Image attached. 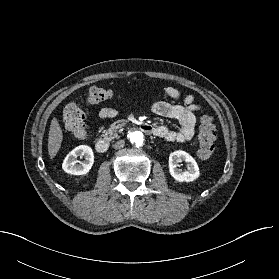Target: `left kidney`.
Masks as SVG:
<instances>
[{
	"mask_svg": "<svg viewBox=\"0 0 279 279\" xmlns=\"http://www.w3.org/2000/svg\"><path fill=\"white\" fill-rule=\"evenodd\" d=\"M186 162V171L179 169L178 163ZM169 172L171 176L178 182H192L196 180L199 175V167L195 159L185 151L177 150L169 155Z\"/></svg>",
	"mask_w": 279,
	"mask_h": 279,
	"instance_id": "1",
	"label": "left kidney"
}]
</instances>
